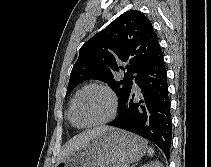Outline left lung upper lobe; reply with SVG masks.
Instances as JSON below:
<instances>
[{"mask_svg":"<svg viewBox=\"0 0 211 167\" xmlns=\"http://www.w3.org/2000/svg\"><path fill=\"white\" fill-rule=\"evenodd\" d=\"M159 47L152 23L143 13L137 10L123 13L81 47L70 74L66 97L80 82L96 78L119 94L120 106L132 88V81ZM120 70L124 71V79L118 82L114 74Z\"/></svg>","mask_w":211,"mask_h":167,"instance_id":"left-lung-upper-lobe-1","label":"left lung upper lobe"}]
</instances>
